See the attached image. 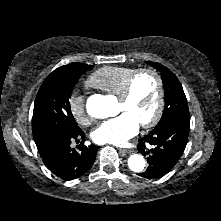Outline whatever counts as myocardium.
<instances>
[{"label": "myocardium", "instance_id": "1", "mask_svg": "<svg viewBox=\"0 0 221 221\" xmlns=\"http://www.w3.org/2000/svg\"><path fill=\"white\" fill-rule=\"evenodd\" d=\"M144 74L151 75L155 78L156 83H157V90H158L157 104H156L154 114L149 120L140 123V125L143 128H149V127L156 125L158 121L160 120L162 113H163V109H164V103H165L164 82H163L161 75L156 70L151 69V68H142V69L135 70L127 78L121 92L118 95V100L121 102H125L129 100L132 94L134 82L139 76L144 75Z\"/></svg>", "mask_w": 221, "mask_h": 221}]
</instances>
